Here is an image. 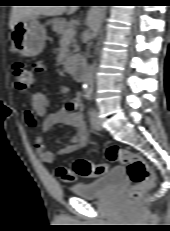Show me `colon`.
I'll use <instances>...</instances> for the list:
<instances>
[{"label":"colon","instance_id":"5ec220e1","mask_svg":"<svg viewBox=\"0 0 170 231\" xmlns=\"http://www.w3.org/2000/svg\"><path fill=\"white\" fill-rule=\"evenodd\" d=\"M12 74L16 89L25 94L33 84V71L23 62H15L12 66ZM106 158L113 163H121L126 166L128 175L133 182L127 193L130 201L138 198L155 181V175L147 162L139 155L118 145L109 146L106 150ZM106 172L103 164H94L87 159H77L72 168L60 166L56 170L58 178L64 182L74 181L76 175L81 177H98Z\"/></svg>","mask_w":170,"mask_h":231}]
</instances>
